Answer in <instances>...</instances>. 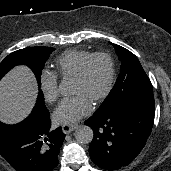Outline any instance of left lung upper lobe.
<instances>
[{"instance_id":"left-lung-upper-lobe-1","label":"left lung upper lobe","mask_w":171,"mask_h":171,"mask_svg":"<svg viewBox=\"0 0 171 171\" xmlns=\"http://www.w3.org/2000/svg\"><path fill=\"white\" fill-rule=\"evenodd\" d=\"M121 60V72L108 97L94 114H105L134 104L154 105L153 88L137 57L129 50L111 43Z\"/></svg>"}]
</instances>
